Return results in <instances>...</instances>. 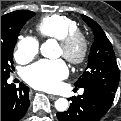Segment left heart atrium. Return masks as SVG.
I'll use <instances>...</instances> for the list:
<instances>
[{
    "label": "left heart atrium",
    "mask_w": 121,
    "mask_h": 121,
    "mask_svg": "<svg viewBox=\"0 0 121 121\" xmlns=\"http://www.w3.org/2000/svg\"><path fill=\"white\" fill-rule=\"evenodd\" d=\"M68 69L63 60H41L24 71V79L33 87L53 91L66 78Z\"/></svg>",
    "instance_id": "39dd6f15"
}]
</instances>
